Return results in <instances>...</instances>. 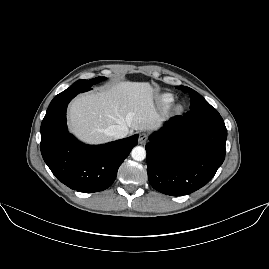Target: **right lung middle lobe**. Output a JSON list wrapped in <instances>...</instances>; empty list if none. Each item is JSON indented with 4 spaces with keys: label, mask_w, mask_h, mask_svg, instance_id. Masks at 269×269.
I'll return each instance as SVG.
<instances>
[{
    "label": "right lung middle lobe",
    "mask_w": 269,
    "mask_h": 269,
    "mask_svg": "<svg viewBox=\"0 0 269 269\" xmlns=\"http://www.w3.org/2000/svg\"><path fill=\"white\" fill-rule=\"evenodd\" d=\"M104 77H96L94 79H90V80H78L77 82H75L72 87L74 88H84L85 91L89 90V87L97 84L98 82L104 80Z\"/></svg>",
    "instance_id": "1"
}]
</instances>
